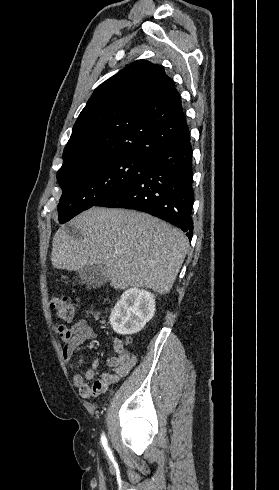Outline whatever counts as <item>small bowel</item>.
<instances>
[{
	"label": "small bowel",
	"instance_id": "c3829d8e",
	"mask_svg": "<svg viewBox=\"0 0 279 490\" xmlns=\"http://www.w3.org/2000/svg\"><path fill=\"white\" fill-rule=\"evenodd\" d=\"M55 333L63 343V358L67 364L73 362L75 350L88 340L97 337L95 329L85 320L77 321L73 326L67 327L63 324L55 325ZM115 355L107 360V364L113 369L111 372H104L99 380L93 381L95 371L99 366V359L95 358L91 369L83 375L79 372L73 374V384L84 398L96 397L107 391V389L125 377L136 364V356L126 349L122 340H113ZM84 363V358L80 357L76 363V369H80Z\"/></svg>",
	"mask_w": 279,
	"mask_h": 490
}]
</instances>
